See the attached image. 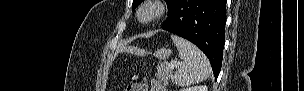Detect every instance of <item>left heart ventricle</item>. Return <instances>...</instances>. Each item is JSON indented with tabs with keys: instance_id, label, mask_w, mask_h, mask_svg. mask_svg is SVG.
I'll return each mask as SVG.
<instances>
[{
	"instance_id": "obj_1",
	"label": "left heart ventricle",
	"mask_w": 304,
	"mask_h": 91,
	"mask_svg": "<svg viewBox=\"0 0 304 91\" xmlns=\"http://www.w3.org/2000/svg\"><path fill=\"white\" fill-rule=\"evenodd\" d=\"M144 16H147L148 15V12L146 11V12H144V14H143Z\"/></svg>"
}]
</instances>
